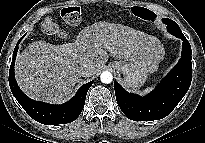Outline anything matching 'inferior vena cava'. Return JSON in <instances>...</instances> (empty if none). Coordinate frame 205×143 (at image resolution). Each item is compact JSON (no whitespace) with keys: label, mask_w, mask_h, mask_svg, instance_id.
Instances as JSON below:
<instances>
[{"label":"inferior vena cava","mask_w":205,"mask_h":143,"mask_svg":"<svg viewBox=\"0 0 205 143\" xmlns=\"http://www.w3.org/2000/svg\"><path fill=\"white\" fill-rule=\"evenodd\" d=\"M94 73H95V68H94V66H92L90 64H85L80 69V74L83 77H91L94 75Z\"/></svg>","instance_id":"obj_1"}]
</instances>
